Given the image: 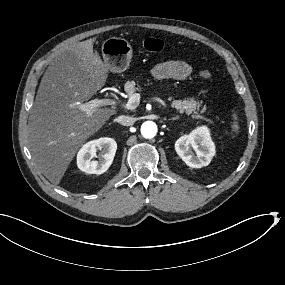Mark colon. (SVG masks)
<instances>
[{
  "mask_svg": "<svg viewBox=\"0 0 285 285\" xmlns=\"http://www.w3.org/2000/svg\"><path fill=\"white\" fill-rule=\"evenodd\" d=\"M143 47L148 52L158 53L164 50L165 42L161 39L151 37L144 41ZM199 76L203 79H210L212 74L208 70H201Z\"/></svg>",
  "mask_w": 285,
  "mask_h": 285,
  "instance_id": "obj_1",
  "label": "colon"
}]
</instances>
